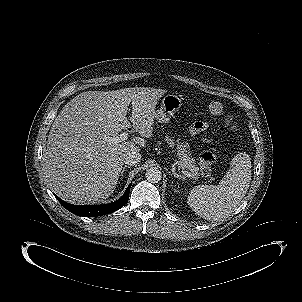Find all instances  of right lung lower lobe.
<instances>
[{"mask_svg":"<svg viewBox=\"0 0 302 302\" xmlns=\"http://www.w3.org/2000/svg\"><path fill=\"white\" fill-rule=\"evenodd\" d=\"M130 187L131 184L127 187L124 195L120 199L104 205H73L66 203L56 195L55 197L63 207H65L68 211L72 212L75 215L84 217H96L111 213L124 206L129 199Z\"/></svg>","mask_w":302,"mask_h":302,"instance_id":"right-lung-lower-lobe-1","label":"right lung lower lobe"}]
</instances>
